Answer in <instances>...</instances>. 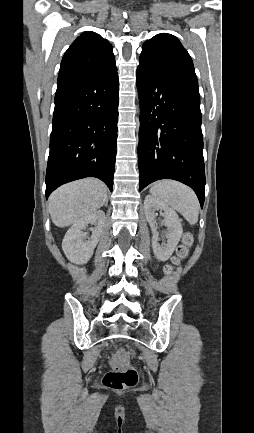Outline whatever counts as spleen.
<instances>
[{"instance_id": "spleen-1", "label": "spleen", "mask_w": 254, "mask_h": 433, "mask_svg": "<svg viewBox=\"0 0 254 433\" xmlns=\"http://www.w3.org/2000/svg\"><path fill=\"white\" fill-rule=\"evenodd\" d=\"M150 193L177 210L191 225L197 223L199 201L188 186L174 180H161L151 187Z\"/></svg>"}]
</instances>
